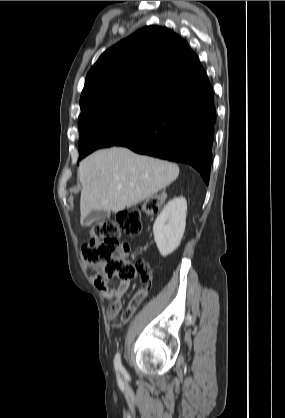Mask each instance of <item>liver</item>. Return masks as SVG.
<instances>
[{
	"label": "liver",
	"mask_w": 285,
	"mask_h": 418,
	"mask_svg": "<svg viewBox=\"0 0 285 418\" xmlns=\"http://www.w3.org/2000/svg\"><path fill=\"white\" fill-rule=\"evenodd\" d=\"M81 220L91 211L117 213L171 184L179 167L122 147L98 150L80 164Z\"/></svg>",
	"instance_id": "6515ba94"
}]
</instances>
